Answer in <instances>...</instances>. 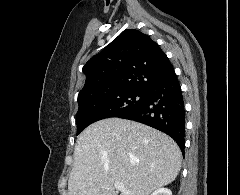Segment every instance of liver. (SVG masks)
Returning a JSON list of instances; mask_svg holds the SVG:
<instances>
[{
    "label": "liver",
    "instance_id": "liver-1",
    "mask_svg": "<svg viewBox=\"0 0 240 195\" xmlns=\"http://www.w3.org/2000/svg\"><path fill=\"white\" fill-rule=\"evenodd\" d=\"M69 195H148L174 181L182 153L172 137L138 121L107 117L78 135ZM121 181L126 191H117Z\"/></svg>",
    "mask_w": 240,
    "mask_h": 195
}]
</instances>
